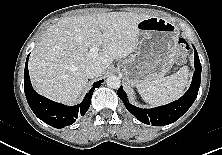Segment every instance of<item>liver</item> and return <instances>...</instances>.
I'll list each match as a JSON object with an SVG mask.
<instances>
[{"instance_id": "obj_1", "label": "liver", "mask_w": 222, "mask_h": 155, "mask_svg": "<svg viewBox=\"0 0 222 155\" xmlns=\"http://www.w3.org/2000/svg\"><path fill=\"white\" fill-rule=\"evenodd\" d=\"M131 12L71 16L51 25L29 59L35 90L54 101L70 103L87 85V66L99 65L103 73L114 59L125 58L138 48V24L149 18ZM89 47H101L96 58Z\"/></svg>"}]
</instances>
